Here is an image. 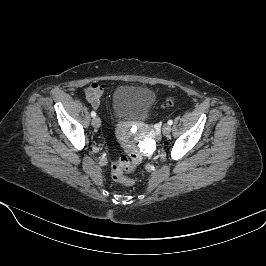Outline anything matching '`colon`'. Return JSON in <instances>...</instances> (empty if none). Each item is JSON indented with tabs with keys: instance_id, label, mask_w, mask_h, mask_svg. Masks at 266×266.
Wrapping results in <instances>:
<instances>
[{
	"instance_id": "colon-1",
	"label": "colon",
	"mask_w": 266,
	"mask_h": 266,
	"mask_svg": "<svg viewBox=\"0 0 266 266\" xmlns=\"http://www.w3.org/2000/svg\"><path fill=\"white\" fill-rule=\"evenodd\" d=\"M173 101L168 98L165 100V106H171ZM126 156L120 157L118 160L114 161L111 165V176L114 181L121 183L126 186L133 185L134 180L127 176L128 173L135 170V168L142 161V153L132 147L126 148Z\"/></svg>"
}]
</instances>
